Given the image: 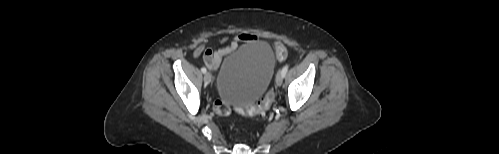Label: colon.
I'll return each instance as SVG.
<instances>
[{
	"instance_id": "1",
	"label": "colon",
	"mask_w": 499,
	"mask_h": 154,
	"mask_svg": "<svg viewBox=\"0 0 499 154\" xmlns=\"http://www.w3.org/2000/svg\"><path fill=\"white\" fill-rule=\"evenodd\" d=\"M275 54L276 58L279 61L284 60L287 56L285 47L280 43L276 44ZM211 56H212V50L206 49L204 51V59L208 60L211 58ZM272 101H273V94L269 92L258 103H254L245 107L235 108V111L247 116L262 115L270 108ZM213 109L218 116H227L232 111V107L221 99L215 101Z\"/></svg>"
}]
</instances>
